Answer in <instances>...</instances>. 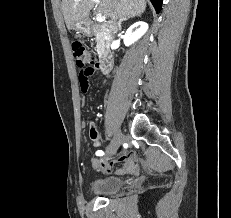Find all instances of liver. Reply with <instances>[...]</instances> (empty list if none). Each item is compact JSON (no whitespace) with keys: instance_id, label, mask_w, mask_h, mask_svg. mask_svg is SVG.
I'll return each mask as SVG.
<instances>
[{"instance_id":"liver-1","label":"liver","mask_w":231,"mask_h":218,"mask_svg":"<svg viewBox=\"0 0 231 218\" xmlns=\"http://www.w3.org/2000/svg\"><path fill=\"white\" fill-rule=\"evenodd\" d=\"M62 11L68 30L76 22L84 20L94 7L93 0H62ZM146 9L145 0H101L98 8L105 18L110 19L111 29H115L117 20L140 16Z\"/></svg>"}]
</instances>
